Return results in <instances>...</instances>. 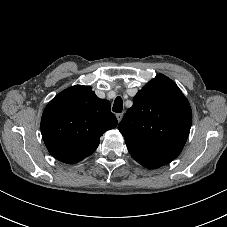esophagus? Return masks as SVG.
Here are the masks:
<instances>
[{"mask_svg": "<svg viewBox=\"0 0 227 227\" xmlns=\"http://www.w3.org/2000/svg\"><path fill=\"white\" fill-rule=\"evenodd\" d=\"M116 118H117L118 122H120L123 118V113H117Z\"/></svg>", "mask_w": 227, "mask_h": 227, "instance_id": "obj_1", "label": "esophagus"}]
</instances>
